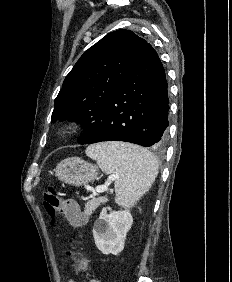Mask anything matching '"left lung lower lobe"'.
I'll use <instances>...</instances> for the list:
<instances>
[{
	"label": "left lung lower lobe",
	"mask_w": 232,
	"mask_h": 282,
	"mask_svg": "<svg viewBox=\"0 0 232 282\" xmlns=\"http://www.w3.org/2000/svg\"><path fill=\"white\" fill-rule=\"evenodd\" d=\"M169 108L164 67L147 43L133 71L107 104L100 122L84 133L79 143L125 141L144 147H163Z\"/></svg>",
	"instance_id": "1"
}]
</instances>
